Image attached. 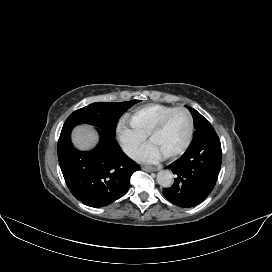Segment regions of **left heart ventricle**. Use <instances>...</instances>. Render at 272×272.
<instances>
[{
  "mask_svg": "<svg viewBox=\"0 0 272 272\" xmlns=\"http://www.w3.org/2000/svg\"><path fill=\"white\" fill-rule=\"evenodd\" d=\"M189 129L188 117L184 112L173 113L163 128L153 136V143L163 155L176 151L185 142Z\"/></svg>",
  "mask_w": 272,
  "mask_h": 272,
  "instance_id": "obj_1",
  "label": "left heart ventricle"
}]
</instances>
